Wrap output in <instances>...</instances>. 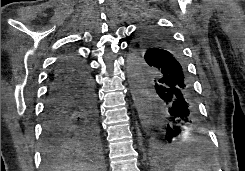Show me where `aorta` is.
<instances>
[{
  "label": "aorta",
  "mask_w": 245,
  "mask_h": 171,
  "mask_svg": "<svg viewBox=\"0 0 245 171\" xmlns=\"http://www.w3.org/2000/svg\"><path fill=\"white\" fill-rule=\"evenodd\" d=\"M138 61L133 53L127 56L126 73L141 123L147 127L152 122L153 94L148 83L142 77L140 67H132Z\"/></svg>",
  "instance_id": "obj_1"
}]
</instances>
